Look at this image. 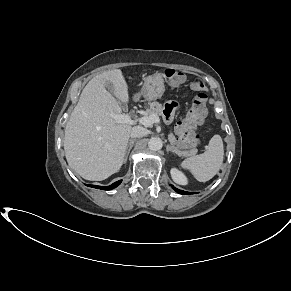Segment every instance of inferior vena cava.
<instances>
[{"mask_svg":"<svg viewBox=\"0 0 291 291\" xmlns=\"http://www.w3.org/2000/svg\"><path fill=\"white\" fill-rule=\"evenodd\" d=\"M147 134V130L141 126H135L132 128L130 137L131 138H139L143 137Z\"/></svg>","mask_w":291,"mask_h":291,"instance_id":"obj_1","label":"inferior vena cava"}]
</instances>
